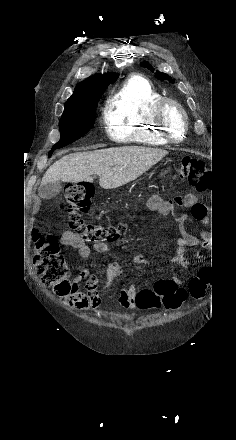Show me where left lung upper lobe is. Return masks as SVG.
<instances>
[{
  "label": "left lung upper lobe",
  "instance_id": "5c2ea615",
  "mask_svg": "<svg viewBox=\"0 0 236 440\" xmlns=\"http://www.w3.org/2000/svg\"><path fill=\"white\" fill-rule=\"evenodd\" d=\"M141 65L144 66V67H147V68H149V69H151V70L154 69L150 64H148V62H142ZM156 76H157L159 79H161V80H169V81H172V82L174 81V80L171 79L170 76H168V75L165 74V73L159 72V71L156 72Z\"/></svg>",
  "mask_w": 236,
  "mask_h": 440
}]
</instances>
